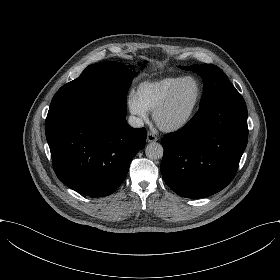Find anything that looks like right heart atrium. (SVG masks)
<instances>
[{"mask_svg":"<svg viewBox=\"0 0 280 280\" xmlns=\"http://www.w3.org/2000/svg\"><path fill=\"white\" fill-rule=\"evenodd\" d=\"M127 106L133 114L143 119H146L148 117V111L140 105L134 94H131L128 97Z\"/></svg>","mask_w":280,"mask_h":280,"instance_id":"d8ad5b80","label":"right heart atrium"}]
</instances>
